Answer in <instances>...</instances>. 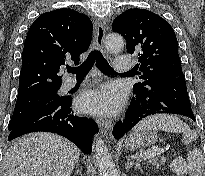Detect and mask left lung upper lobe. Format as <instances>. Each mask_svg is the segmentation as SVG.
<instances>
[{
    "label": "left lung upper lobe",
    "instance_id": "1",
    "mask_svg": "<svg viewBox=\"0 0 205 176\" xmlns=\"http://www.w3.org/2000/svg\"><path fill=\"white\" fill-rule=\"evenodd\" d=\"M112 30L121 34L128 53L138 58L141 82L133 90H142L164 76H181L178 42L172 27L160 16L144 9H129L113 22Z\"/></svg>",
    "mask_w": 205,
    "mask_h": 176
}]
</instances>
